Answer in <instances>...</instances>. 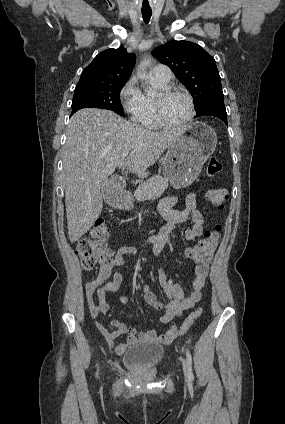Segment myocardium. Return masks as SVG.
<instances>
[{
  "label": "myocardium",
  "mask_w": 285,
  "mask_h": 424,
  "mask_svg": "<svg viewBox=\"0 0 285 424\" xmlns=\"http://www.w3.org/2000/svg\"><path fill=\"white\" fill-rule=\"evenodd\" d=\"M174 95H181L183 97H185L189 103V107H190V112L188 117L180 124H173L170 123L165 115H164V111H163V103L164 101ZM155 111H156V117L158 122L160 123V125L164 128L167 129H172V130H182L184 128H186L194 119L195 115H196V108H195V104H194V100L192 98V96L181 90V89H177V88H166L164 89L160 96L158 98L155 99Z\"/></svg>",
  "instance_id": "myocardium-1"
}]
</instances>
